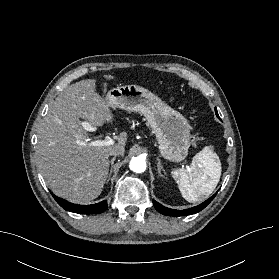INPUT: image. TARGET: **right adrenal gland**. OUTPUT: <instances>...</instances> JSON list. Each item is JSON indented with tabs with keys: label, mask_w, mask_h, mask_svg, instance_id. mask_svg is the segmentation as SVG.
<instances>
[{
	"label": "right adrenal gland",
	"mask_w": 279,
	"mask_h": 279,
	"mask_svg": "<svg viewBox=\"0 0 279 279\" xmlns=\"http://www.w3.org/2000/svg\"><path fill=\"white\" fill-rule=\"evenodd\" d=\"M116 157H113L111 159V167H110V170H109V174H108V179H107V182L109 181L110 177H111V174H112V167H113V164H114V161H115Z\"/></svg>",
	"instance_id": "obj_1"
}]
</instances>
